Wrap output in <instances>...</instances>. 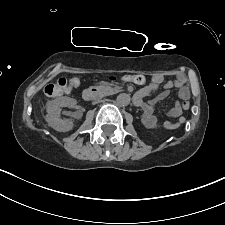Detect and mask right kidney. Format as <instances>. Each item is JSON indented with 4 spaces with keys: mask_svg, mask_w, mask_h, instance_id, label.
Here are the masks:
<instances>
[{
    "mask_svg": "<svg viewBox=\"0 0 225 225\" xmlns=\"http://www.w3.org/2000/svg\"><path fill=\"white\" fill-rule=\"evenodd\" d=\"M76 100L70 97H60L48 102L46 121L49 126L59 132H67L72 130L73 121L63 120L59 116L62 107H74Z\"/></svg>",
    "mask_w": 225,
    "mask_h": 225,
    "instance_id": "right-kidney-1",
    "label": "right kidney"
}]
</instances>
